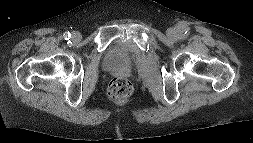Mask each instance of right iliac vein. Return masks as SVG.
<instances>
[{"instance_id":"right-iliac-vein-1","label":"right iliac vein","mask_w":253,"mask_h":143,"mask_svg":"<svg viewBox=\"0 0 253 143\" xmlns=\"http://www.w3.org/2000/svg\"><path fill=\"white\" fill-rule=\"evenodd\" d=\"M71 38H72L73 41H76V42H77V41H80V39H81V34L78 33V32H74V33H72Z\"/></svg>"}]
</instances>
